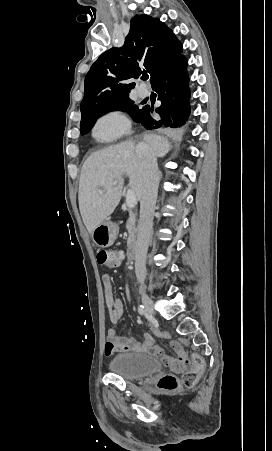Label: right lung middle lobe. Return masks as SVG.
I'll use <instances>...</instances> for the list:
<instances>
[{
	"label": "right lung middle lobe",
	"instance_id": "1",
	"mask_svg": "<svg viewBox=\"0 0 272 451\" xmlns=\"http://www.w3.org/2000/svg\"><path fill=\"white\" fill-rule=\"evenodd\" d=\"M114 110H119V111H124V112L129 113L136 122L138 120H140V118L144 112V108L139 109L138 106L136 104H134V101L131 100L130 98H125V99H121V100L108 102V103L90 108L81 113V115H82L81 123H80L81 134L83 135V134L88 133L90 131V129L92 128L95 120L98 117H100L101 115H103L104 113H106L108 111H114Z\"/></svg>",
	"mask_w": 272,
	"mask_h": 451
}]
</instances>
